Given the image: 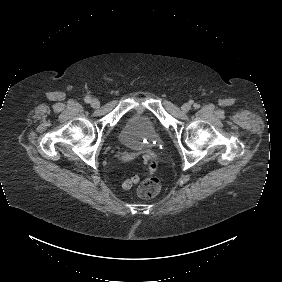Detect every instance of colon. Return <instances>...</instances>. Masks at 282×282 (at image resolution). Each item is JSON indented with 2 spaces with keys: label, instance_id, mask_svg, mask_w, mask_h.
<instances>
[{
  "label": "colon",
  "instance_id": "5ec220e1",
  "mask_svg": "<svg viewBox=\"0 0 282 282\" xmlns=\"http://www.w3.org/2000/svg\"><path fill=\"white\" fill-rule=\"evenodd\" d=\"M158 162L154 158H148L145 161V171L148 175L144 177L151 176L154 172L158 170ZM140 175H134L131 178H128L122 182V187L125 189H129L136 184L139 180ZM161 190V183L160 180L155 179H147L143 183L141 182L138 185L137 195L138 197L148 200L154 198Z\"/></svg>",
  "mask_w": 282,
  "mask_h": 282
}]
</instances>
